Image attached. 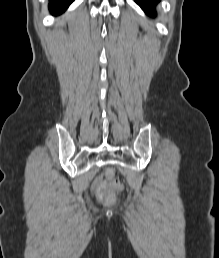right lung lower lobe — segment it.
<instances>
[{"instance_id":"obj_1","label":"right lung lower lobe","mask_w":219,"mask_h":258,"mask_svg":"<svg viewBox=\"0 0 219 258\" xmlns=\"http://www.w3.org/2000/svg\"><path fill=\"white\" fill-rule=\"evenodd\" d=\"M49 9L53 15L64 12L73 0H49Z\"/></svg>"}]
</instances>
